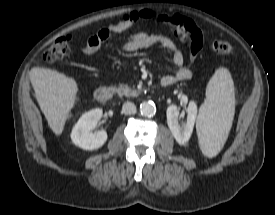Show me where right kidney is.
Masks as SVG:
<instances>
[{
    "label": "right kidney",
    "mask_w": 275,
    "mask_h": 215,
    "mask_svg": "<svg viewBox=\"0 0 275 215\" xmlns=\"http://www.w3.org/2000/svg\"><path fill=\"white\" fill-rule=\"evenodd\" d=\"M102 116V109L96 108L84 113L73 127L71 132L72 142L85 150L100 148L107 140V132L100 130L93 133L92 130L97 126Z\"/></svg>",
    "instance_id": "ca27d5eb"
}]
</instances>
